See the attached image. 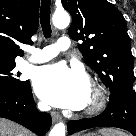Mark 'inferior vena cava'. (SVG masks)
I'll return each mask as SVG.
<instances>
[{
    "label": "inferior vena cava",
    "instance_id": "602c4592",
    "mask_svg": "<svg viewBox=\"0 0 136 136\" xmlns=\"http://www.w3.org/2000/svg\"><path fill=\"white\" fill-rule=\"evenodd\" d=\"M38 108L41 111H48L49 110V107L47 105L42 104V103L38 105Z\"/></svg>",
    "mask_w": 136,
    "mask_h": 136
}]
</instances>
